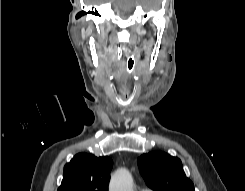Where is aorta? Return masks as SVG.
I'll use <instances>...</instances> for the list:
<instances>
[{
  "mask_svg": "<svg viewBox=\"0 0 245 191\" xmlns=\"http://www.w3.org/2000/svg\"><path fill=\"white\" fill-rule=\"evenodd\" d=\"M109 191H133V179L127 169H118L112 175Z\"/></svg>",
  "mask_w": 245,
  "mask_h": 191,
  "instance_id": "obj_1",
  "label": "aorta"
}]
</instances>
